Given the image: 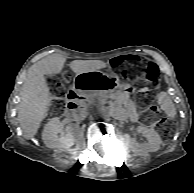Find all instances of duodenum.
<instances>
[{
  "instance_id": "duodenum-1",
  "label": "duodenum",
  "mask_w": 194,
  "mask_h": 193,
  "mask_svg": "<svg viewBox=\"0 0 194 193\" xmlns=\"http://www.w3.org/2000/svg\"><path fill=\"white\" fill-rule=\"evenodd\" d=\"M85 101L84 96L71 92L68 96L66 115L68 117L80 115L85 106Z\"/></svg>"
}]
</instances>
